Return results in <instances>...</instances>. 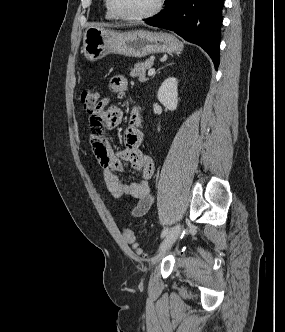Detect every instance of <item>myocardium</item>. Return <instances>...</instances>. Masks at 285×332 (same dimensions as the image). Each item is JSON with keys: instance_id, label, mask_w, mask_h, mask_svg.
Instances as JSON below:
<instances>
[{"instance_id": "1", "label": "myocardium", "mask_w": 285, "mask_h": 332, "mask_svg": "<svg viewBox=\"0 0 285 332\" xmlns=\"http://www.w3.org/2000/svg\"><path fill=\"white\" fill-rule=\"evenodd\" d=\"M165 0H157L156 4L153 9H151L149 12L136 15V16H126L123 14H120L114 7L112 0H106L107 6L110 10V12L113 14V16L116 19L123 20V21H130V22H137V21H144L147 19H150L154 16H156L162 9L163 3Z\"/></svg>"}]
</instances>
